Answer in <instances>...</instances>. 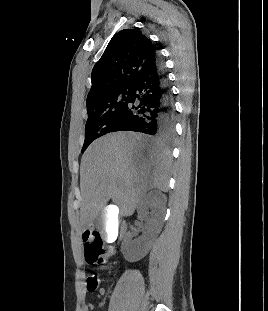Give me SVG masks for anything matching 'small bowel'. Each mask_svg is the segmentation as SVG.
<instances>
[{
	"mask_svg": "<svg viewBox=\"0 0 268 311\" xmlns=\"http://www.w3.org/2000/svg\"><path fill=\"white\" fill-rule=\"evenodd\" d=\"M93 310V305L91 303H86L83 306V311H91Z\"/></svg>",
	"mask_w": 268,
	"mask_h": 311,
	"instance_id": "small-bowel-1",
	"label": "small bowel"
}]
</instances>
